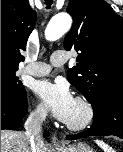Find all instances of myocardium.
<instances>
[{
  "mask_svg": "<svg viewBox=\"0 0 123 152\" xmlns=\"http://www.w3.org/2000/svg\"><path fill=\"white\" fill-rule=\"evenodd\" d=\"M75 101L83 108L84 116L77 122L66 121L65 125L71 131H83L93 123L95 119V109L93 104L83 96H77Z\"/></svg>",
  "mask_w": 123,
  "mask_h": 152,
  "instance_id": "f54148a6",
  "label": "myocardium"
}]
</instances>
